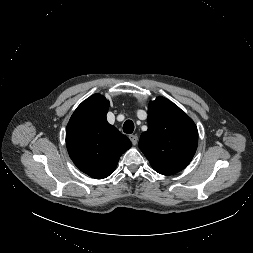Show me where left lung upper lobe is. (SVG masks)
<instances>
[{"instance_id": "obj_1", "label": "left lung upper lobe", "mask_w": 253, "mask_h": 253, "mask_svg": "<svg viewBox=\"0 0 253 253\" xmlns=\"http://www.w3.org/2000/svg\"><path fill=\"white\" fill-rule=\"evenodd\" d=\"M197 144V127L179 107L163 97L150 102L148 130L142 133L139 148L155 171L172 175L183 170Z\"/></svg>"}]
</instances>
